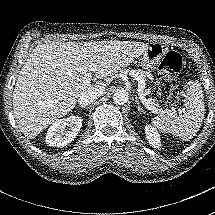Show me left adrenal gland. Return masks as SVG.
<instances>
[{
	"label": "left adrenal gland",
	"instance_id": "a2214340",
	"mask_svg": "<svg viewBox=\"0 0 215 215\" xmlns=\"http://www.w3.org/2000/svg\"><path fill=\"white\" fill-rule=\"evenodd\" d=\"M135 103L137 104V109L138 110H142L141 106H140V102L137 96H135Z\"/></svg>",
	"mask_w": 215,
	"mask_h": 215
}]
</instances>
